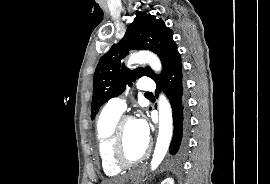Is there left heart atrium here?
<instances>
[{"label":"left heart atrium","instance_id":"obj_1","mask_svg":"<svg viewBox=\"0 0 270 184\" xmlns=\"http://www.w3.org/2000/svg\"><path fill=\"white\" fill-rule=\"evenodd\" d=\"M136 121L137 127L141 133V135L146 138L147 140L149 139V134H150V129L147 121L144 118H139Z\"/></svg>","mask_w":270,"mask_h":184}]
</instances>
